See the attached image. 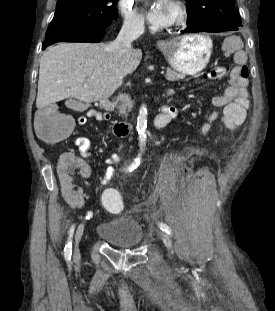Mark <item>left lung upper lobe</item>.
I'll list each match as a JSON object with an SVG mask.
<instances>
[{
    "label": "left lung upper lobe",
    "instance_id": "5c2ea615",
    "mask_svg": "<svg viewBox=\"0 0 275 311\" xmlns=\"http://www.w3.org/2000/svg\"><path fill=\"white\" fill-rule=\"evenodd\" d=\"M186 2L187 25L218 20L229 26H242L234 0H186Z\"/></svg>",
    "mask_w": 275,
    "mask_h": 311
}]
</instances>
